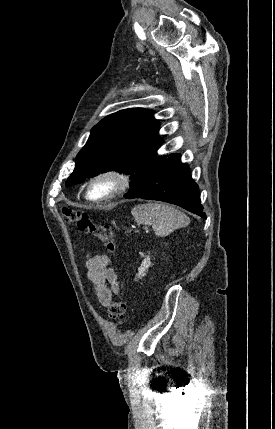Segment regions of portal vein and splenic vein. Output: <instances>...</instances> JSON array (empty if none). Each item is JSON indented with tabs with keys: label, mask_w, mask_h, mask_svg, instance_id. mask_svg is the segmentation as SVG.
<instances>
[{
	"label": "portal vein and splenic vein",
	"mask_w": 275,
	"mask_h": 429,
	"mask_svg": "<svg viewBox=\"0 0 275 429\" xmlns=\"http://www.w3.org/2000/svg\"><path fill=\"white\" fill-rule=\"evenodd\" d=\"M146 229H147V227H145V226H144V227H143V230H146Z\"/></svg>",
	"instance_id": "18ae733b"
}]
</instances>
